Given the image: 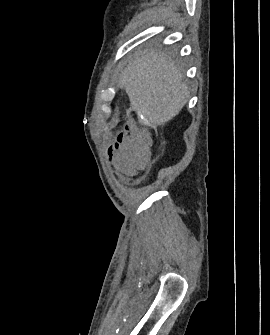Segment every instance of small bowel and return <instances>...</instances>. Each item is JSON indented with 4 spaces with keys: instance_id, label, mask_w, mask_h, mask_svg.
I'll list each match as a JSON object with an SVG mask.
<instances>
[{
    "instance_id": "obj_1",
    "label": "small bowel",
    "mask_w": 270,
    "mask_h": 335,
    "mask_svg": "<svg viewBox=\"0 0 270 335\" xmlns=\"http://www.w3.org/2000/svg\"><path fill=\"white\" fill-rule=\"evenodd\" d=\"M142 122L130 121L129 127L126 128L127 134H140ZM120 144H99V151H107L102 154V161H108L109 165H122L121 171H118V178H135L136 169H143L148 165V158H133L137 152H142L143 156H156V149H147L146 145L150 144L149 138H143L142 135L119 136ZM120 156V158H119Z\"/></svg>"
}]
</instances>
